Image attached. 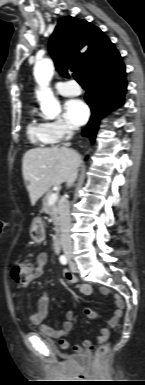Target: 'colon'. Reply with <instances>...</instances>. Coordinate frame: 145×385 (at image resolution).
Here are the masks:
<instances>
[{
  "label": "colon",
  "mask_w": 145,
  "mask_h": 385,
  "mask_svg": "<svg viewBox=\"0 0 145 385\" xmlns=\"http://www.w3.org/2000/svg\"><path fill=\"white\" fill-rule=\"evenodd\" d=\"M34 265L29 261L17 262L12 269V277L14 281L20 286H27L34 275ZM91 348V347H90ZM109 351V345L104 344L100 346L96 351L95 365L99 366L105 359Z\"/></svg>",
  "instance_id": "1"
}]
</instances>
